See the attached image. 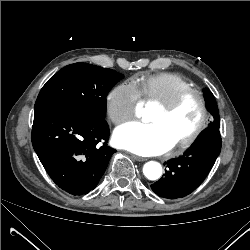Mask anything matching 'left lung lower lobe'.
I'll return each instance as SVG.
<instances>
[{
	"label": "left lung lower lobe",
	"instance_id": "0a47b994",
	"mask_svg": "<svg viewBox=\"0 0 250 250\" xmlns=\"http://www.w3.org/2000/svg\"><path fill=\"white\" fill-rule=\"evenodd\" d=\"M221 144L219 129L206 128L182 156L167 162L166 173L151 185L152 190L168 199L188 195L208 175L221 151Z\"/></svg>",
	"mask_w": 250,
	"mask_h": 250
}]
</instances>
